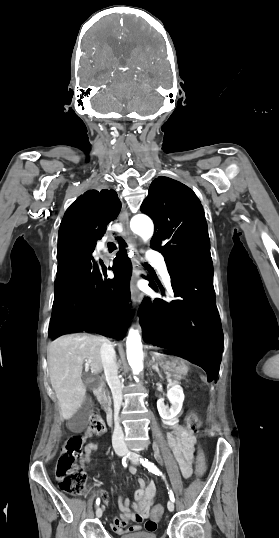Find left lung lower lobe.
Segmentation results:
<instances>
[{"label":"left lung lower lobe","mask_w":279,"mask_h":538,"mask_svg":"<svg viewBox=\"0 0 279 538\" xmlns=\"http://www.w3.org/2000/svg\"><path fill=\"white\" fill-rule=\"evenodd\" d=\"M177 300L144 298L140 324L147 342L177 351L202 367L208 381L219 372L223 332L216 308L213 267L169 272ZM158 291L156 284L150 285ZM159 289L164 292L163 287Z\"/></svg>","instance_id":"obj_1"}]
</instances>
